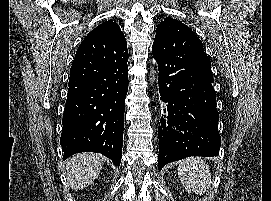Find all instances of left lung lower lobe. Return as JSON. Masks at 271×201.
I'll use <instances>...</instances> for the list:
<instances>
[{
	"label": "left lung lower lobe",
	"instance_id": "obj_1",
	"mask_svg": "<svg viewBox=\"0 0 271 201\" xmlns=\"http://www.w3.org/2000/svg\"><path fill=\"white\" fill-rule=\"evenodd\" d=\"M152 53L158 63L161 100L166 103L158 130L159 170L189 156H217L221 138L216 94L194 34L180 27L163 45L153 44Z\"/></svg>",
	"mask_w": 271,
	"mask_h": 201
}]
</instances>
